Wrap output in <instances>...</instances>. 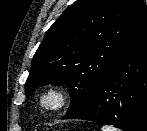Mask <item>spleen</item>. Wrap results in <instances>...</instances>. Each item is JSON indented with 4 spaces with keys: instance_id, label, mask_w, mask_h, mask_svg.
<instances>
[{
    "instance_id": "1",
    "label": "spleen",
    "mask_w": 147,
    "mask_h": 131,
    "mask_svg": "<svg viewBox=\"0 0 147 131\" xmlns=\"http://www.w3.org/2000/svg\"><path fill=\"white\" fill-rule=\"evenodd\" d=\"M102 131H119L118 129H116L115 127L112 126H108V125H103L101 128Z\"/></svg>"
}]
</instances>
